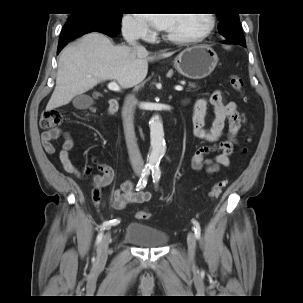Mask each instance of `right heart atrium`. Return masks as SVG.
Segmentation results:
<instances>
[{
	"label": "right heart atrium",
	"instance_id": "d8ad5b80",
	"mask_svg": "<svg viewBox=\"0 0 303 303\" xmlns=\"http://www.w3.org/2000/svg\"><path fill=\"white\" fill-rule=\"evenodd\" d=\"M121 29L126 36L136 39H148L150 35L148 25L135 14L123 17Z\"/></svg>",
	"mask_w": 303,
	"mask_h": 303
}]
</instances>
